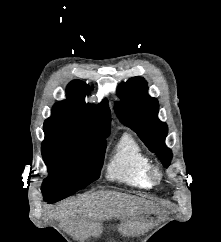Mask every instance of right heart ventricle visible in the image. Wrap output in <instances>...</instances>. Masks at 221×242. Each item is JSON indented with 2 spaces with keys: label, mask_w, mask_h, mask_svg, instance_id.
Masks as SVG:
<instances>
[{
  "label": "right heart ventricle",
  "mask_w": 221,
  "mask_h": 242,
  "mask_svg": "<svg viewBox=\"0 0 221 242\" xmlns=\"http://www.w3.org/2000/svg\"><path fill=\"white\" fill-rule=\"evenodd\" d=\"M151 159L146 150L129 133H124L113 149L107 167L109 181L147 190L152 187L147 175Z\"/></svg>",
  "instance_id": "e07e8e85"
}]
</instances>
